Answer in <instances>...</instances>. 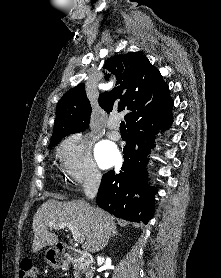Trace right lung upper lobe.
I'll use <instances>...</instances> for the list:
<instances>
[{
	"instance_id": "right-lung-upper-lobe-1",
	"label": "right lung upper lobe",
	"mask_w": 221,
	"mask_h": 278,
	"mask_svg": "<svg viewBox=\"0 0 221 278\" xmlns=\"http://www.w3.org/2000/svg\"><path fill=\"white\" fill-rule=\"evenodd\" d=\"M104 68L115 74L117 82L111 91L100 94L99 104L107 113L113 108L128 110L124 117L127 128L173 104L168 85L159 70L143 54L129 52L116 55L107 60ZM84 89V84H78L58 102L50 145L58 143L68 134L88 128L92 109Z\"/></svg>"
}]
</instances>
